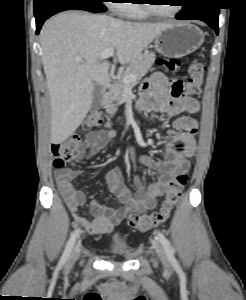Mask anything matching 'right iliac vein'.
Wrapping results in <instances>:
<instances>
[{
  "instance_id": "right-iliac-vein-1",
  "label": "right iliac vein",
  "mask_w": 246,
  "mask_h": 300,
  "mask_svg": "<svg viewBox=\"0 0 246 300\" xmlns=\"http://www.w3.org/2000/svg\"><path fill=\"white\" fill-rule=\"evenodd\" d=\"M79 253H80V246L79 245H77L74 249H73V251H72V253H71V255H70V258H69V260H68V263H67V267H72L73 265H74V263L76 262V260L78 259V257H79Z\"/></svg>"
}]
</instances>
